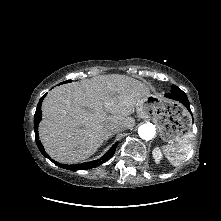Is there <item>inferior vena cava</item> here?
I'll list each match as a JSON object with an SVG mask.
<instances>
[{
    "mask_svg": "<svg viewBox=\"0 0 221 221\" xmlns=\"http://www.w3.org/2000/svg\"><path fill=\"white\" fill-rule=\"evenodd\" d=\"M123 129V126H118L116 124L111 123L106 126L105 131L107 135H112L113 133L120 132Z\"/></svg>",
    "mask_w": 221,
    "mask_h": 221,
    "instance_id": "obj_1",
    "label": "inferior vena cava"
}]
</instances>
